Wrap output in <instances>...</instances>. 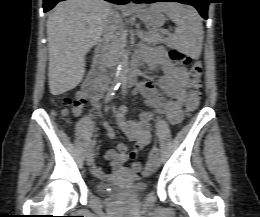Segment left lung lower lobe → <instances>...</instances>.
<instances>
[{"instance_id": "left-lung-lower-lobe-1", "label": "left lung lower lobe", "mask_w": 260, "mask_h": 217, "mask_svg": "<svg viewBox=\"0 0 260 217\" xmlns=\"http://www.w3.org/2000/svg\"><path fill=\"white\" fill-rule=\"evenodd\" d=\"M135 3H154V2H180L196 7L204 19H207V9L210 0H131Z\"/></svg>"}]
</instances>
